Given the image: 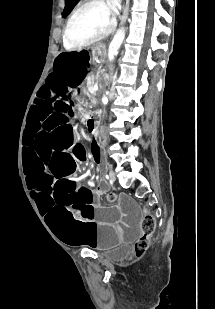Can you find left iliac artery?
I'll list each match as a JSON object with an SVG mask.
<instances>
[{"label": "left iliac artery", "mask_w": 215, "mask_h": 309, "mask_svg": "<svg viewBox=\"0 0 215 309\" xmlns=\"http://www.w3.org/2000/svg\"><path fill=\"white\" fill-rule=\"evenodd\" d=\"M106 178H107V179H109V176H108V175H106Z\"/></svg>", "instance_id": "44dca946"}]
</instances>
